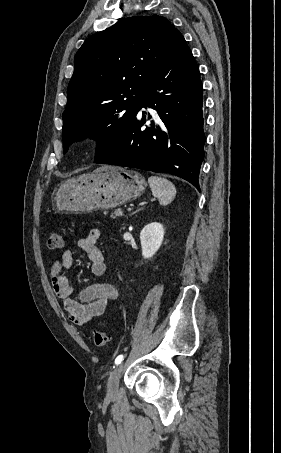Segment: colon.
Wrapping results in <instances>:
<instances>
[{
  "label": "colon",
  "mask_w": 281,
  "mask_h": 453,
  "mask_svg": "<svg viewBox=\"0 0 281 453\" xmlns=\"http://www.w3.org/2000/svg\"><path fill=\"white\" fill-rule=\"evenodd\" d=\"M63 246V234L61 230H53L50 235L48 249L50 251H60ZM110 343V335L105 332H96L93 334V344L96 348H105Z\"/></svg>",
  "instance_id": "colon-1"
}]
</instances>
